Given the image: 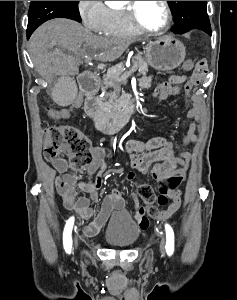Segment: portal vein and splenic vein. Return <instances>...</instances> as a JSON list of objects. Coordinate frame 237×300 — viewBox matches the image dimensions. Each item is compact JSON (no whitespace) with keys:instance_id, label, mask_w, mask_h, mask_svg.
Wrapping results in <instances>:
<instances>
[{"instance_id":"1","label":"portal vein and splenic vein","mask_w":237,"mask_h":300,"mask_svg":"<svg viewBox=\"0 0 237 300\" xmlns=\"http://www.w3.org/2000/svg\"><path fill=\"white\" fill-rule=\"evenodd\" d=\"M136 64V63H135ZM136 66L135 65H133L132 67H131V69L130 70H126V72H124L122 75L124 76H122L120 79L122 80V81H126V79H127V77H129V76H131V73H133V74H135L137 71H136Z\"/></svg>"}]
</instances>
